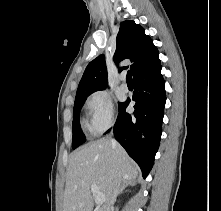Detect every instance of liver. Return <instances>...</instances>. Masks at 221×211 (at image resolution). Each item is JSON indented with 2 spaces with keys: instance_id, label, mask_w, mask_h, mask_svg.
<instances>
[{
  "instance_id": "6515ba94",
  "label": "liver",
  "mask_w": 221,
  "mask_h": 211,
  "mask_svg": "<svg viewBox=\"0 0 221 211\" xmlns=\"http://www.w3.org/2000/svg\"><path fill=\"white\" fill-rule=\"evenodd\" d=\"M138 173V167L120 145L115 149L109 139L90 142L71 154L63 211H92V185L104 194L106 205L112 189L135 180Z\"/></svg>"
}]
</instances>
